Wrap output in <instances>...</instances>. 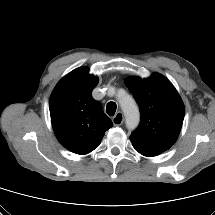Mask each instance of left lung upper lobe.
<instances>
[{"label":"left lung upper lobe","mask_w":215,"mask_h":215,"mask_svg":"<svg viewBox=\"0 0 215 215\" xmlns=\"http://www.w3.org/2000/svg\"><path fill=\"white\" fill-rule=\"evenodd\" d=\"M139 105L141 121L130 136L133 147L147 157L168 150L177 140L184 119V104L172 83L154 73L125 80Z\"/></svg>","instance_id":"obj_1"}]
</instances>
